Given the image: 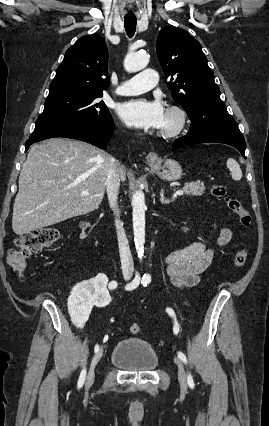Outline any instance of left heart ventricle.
Wrapping results in <instances>:
<instances>
[{
    "label": "left heart ventricle",
    "mask_w": 269,
    "mask_h": 426,
    "mask_svg": "<svg viewBox=\"0 0 269 426\" xmlns=\"http://www.w3.org/2000/svg\"><path fill=\"white\" fill-rule=\"evenodd\" d=\"M170 123H171V119L166 115L165 121H164V123H163V125H162L161 128H165V127L169 126Z\"/></svg>",
    "instance_id": "left-heart-ventricle-1"
}]
</instances>
